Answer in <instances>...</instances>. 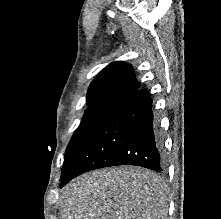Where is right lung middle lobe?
<instances>
[{"label": "right lung middle lobe", "instance_id": "dd1d6c3e", "mask_svg": "<svg viewBox=\"0 0 221 219\" xmlns=\"http://www.w3.org/2000/svg\"><path fill=\"white\" fill-rule=\"evenodd\" d=\"M118 101H100L87 104L88 108L84 113L83 119L75 131L74 135L66 148V159L73 150L85 140L97 125L119 104Z\"/></svg>", "mask_w": 221, "mask_h": 219}]
</instances>
